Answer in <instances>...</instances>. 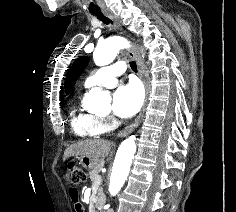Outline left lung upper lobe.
<instances>
[{"mask_svg":"<svg viewBox=\"0 0 236 212\" xmlns=\"http://www.w3.org/2000/svg\"><path fill=\"white\" fill-rule=\"evenodd\" d=\"M88 64L86 56L78 58L70 68L66 78V92L70 93L81 73Z\"/></svg>","mask_w":236,"mask_h":212,"instance_id":"obj_1","label":"left lung upper lobe"}]
</instances>
